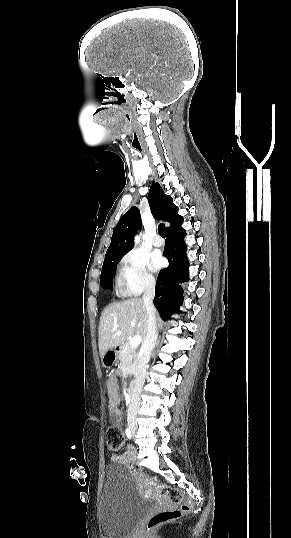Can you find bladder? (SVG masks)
Instances as JSON below:
<instances>
[{
    "instance_id": "1",
    "label": "bladder",
    "mask_w": 291,
    "mask_h": 538,
    "mask_svg": "<svg viewBox=\"0 0 291 538\" xmlns=\"http://www.w3.org/2000/svg\"><path fill=\"white\" fill-rule=\"evenodd\" d=\"M152 508L139 495L136 482L124 465L113 463L106 467L99 503V524L106 538H126Z\"/></svg>"
}]
</instances>
